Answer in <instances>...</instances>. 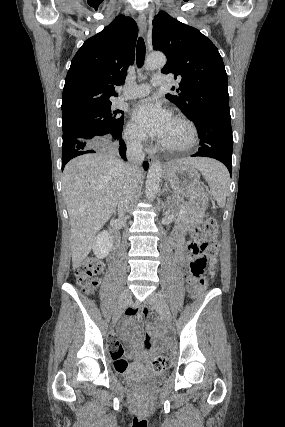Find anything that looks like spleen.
Segmentation results:
<instances>
[{
    "label": "spleen",
    "instance_id": "1",
    "mask_svg": "<svg viewBox=\"0 0 285 427\" xmlns=\"http://www.w3.org/2000/svg\"><path fill=\"white\" fill-rule=\"evenodd\" d=\"M202 175L207 181L210 192L216 199L217 204L220 207H224L230 185L228 170L221 163L214 161L212 165L202 171Z\"/></svg>",
    "mask_w": 285,
    "mask_h": 427
}]
</instances>
